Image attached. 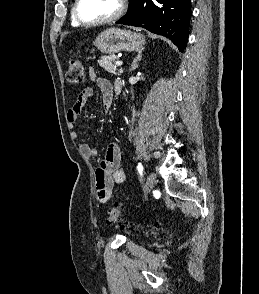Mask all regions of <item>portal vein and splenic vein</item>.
Masks as SVG:
<instances>
[{
    "label": "portal vein and splenic vein",
    "mask_w": 259,
    "mask_h": 294,
    "mask_svg": "<svg viewBox=\"0 0 259 294\" xmlns=\"http://www.w3.org/2000/svg\"><path fill=\"white\" fill-rule=\"evenodd\" d=\"M115 64H116L117 66H122V65H123V62H122V61H116Z\"/></svg>",
    "instance_id": "portal-vein-and-splenic-vein-1"
}]
</instances>
